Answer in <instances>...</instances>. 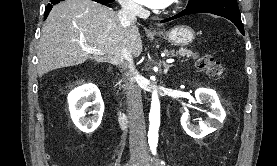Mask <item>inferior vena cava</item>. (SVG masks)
<instances>
[{"mask_svg":"<svg viewBox=\"0 0 277 166\" xmlns=\"http://www.w3.org/2000/svg\"><path fill=\"white\" fill-rule=\"evenodd\" d=\"M121 10L118 13L121 25L127 28L136 22L139 7L129 0H121ZM121 57L126 60L125 67L128 69L125 82L128 117L130 121V153L132 158L145 157L147 155L146 130L143 116V105L141 100V89L137 84V71L135 69L131 53L126 47L122 48Z\"/></svg>","mask_w":277,"mask_h":166,"instance_id":"obj_1","label":"inferior vena cava"}]
</instances>
